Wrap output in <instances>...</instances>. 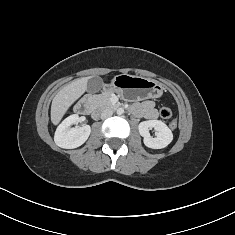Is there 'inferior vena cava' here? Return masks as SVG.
Listing matches in <instances>:
<instances>
[{
  "mask_svg": "<svg viewBox=\"0 0 235 235\" xmlns=\"http://www.w3.org/2000/svg\"><path fill=\"white\" fill-rule=\"evenodd\" d=\"M113 114V111L111 109H104L102 112H101V119H106V118H109L111 117Z\"/></svg>",
  "mask_w": 235,
  "mask_h": 235,
  "instance_id": "inferior-vena-cava-1",
  "label": "inferior vena cava"
}]
</instances>
